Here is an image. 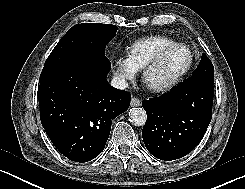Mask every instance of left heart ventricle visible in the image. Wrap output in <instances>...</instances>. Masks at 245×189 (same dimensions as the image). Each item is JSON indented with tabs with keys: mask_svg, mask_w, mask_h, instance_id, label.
Listing matches in <instances>:
<instances>
[{
	"mask_svg": "<svg viewBox=\"0 0 245 189\" xmlns=\"http://www.w3.org/2000/svg\"><path fill=\"white\" fill-rule=\"evenodd\" d=\"M189 52L185 48H177L166 55L163 61L150 72L149 85H162L174 79L188 64Z\"/></svg>",
	"mask_w": 245,
	"mask_h": 189,
	"instance_id": "b2bd125f",
	"label": "left heart ventricle"
}]
</instances>
